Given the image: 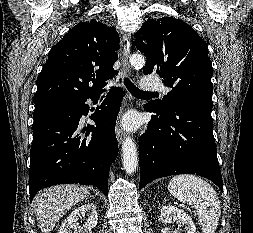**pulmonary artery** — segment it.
<instances>
[{"label": "pulmonary artery", "mask_w": 253, "mask_h": 233, "mask_svg": "<svg viewBox=\"0 0 253 233\" xmlns=\"http://www.w3.org/2000/svg\"><path fill=\"white\" fill-rule=\"evenodd\" d=\"M142 88L149 92H156L160 91L162 93H168L169 88L162 84V82L158 79L151 78V77H145L142 82Z\"/></svg>", "instance_id": "obj_1"}]
</instances>
